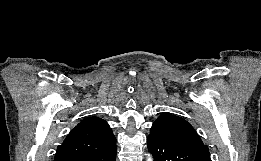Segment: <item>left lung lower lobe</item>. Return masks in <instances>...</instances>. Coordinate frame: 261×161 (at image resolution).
<instances>
[{"instance_id": "0a47b994", "label": "left lung lower lobe", "mask_w": 261, "mask_h": 161, "mask_svg": "<svg viewBox=\"0 0 261 161\" xmlns=\"http://www.w3.org/2000/svg\"><path fill=\"white\" fill-rule=\"evenodd\" d=\"M148 150L154 161H211L209 150L167 143L155 137H148Z\"/></svg>"}]
</instances>
